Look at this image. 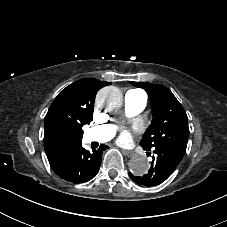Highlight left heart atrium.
Wrapping results in <instances>:
<instances>
[{
  "mask_svg": "<svg viewBox=\"0 0 227 227\" xmlns=\"http://www.w3.org/2000/svg\"><path fill=\"white\" fill-rule=\"evenodd\" d=\"M142 129L143 127L139 122L134 123V125L131 128L122 127L118 135V141H128L131 139L133 134L140 133Z\"/></svg>",
  "mask_w": 227,
  "mask_h": 227,
  "instance_id": "obj_1",
  "label": "left heart atrium"
}]
</instances>
